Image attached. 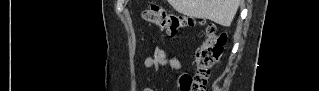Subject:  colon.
<instances>
[{"mask_svg":"<svg viewBox=\"0 0 319 91\" xmlns=\"http://www.w3.org/2000/svg\"><path fill=\"white\" fill-rule=\"evenodd\" d=\"M142 16L147 23L158 27L172 37L196 24L194 19L173 13L158 5L146 8ZM225 42L224 33H218L213 24H204V39L195 53V75L193 77L183 75L180 78L181 91L206 90L208 79L222 54Z\"/></svg>","mask_w":319,"mask_h":91,"instance_id":"obj_1","label":"colon"}]
</instances>
